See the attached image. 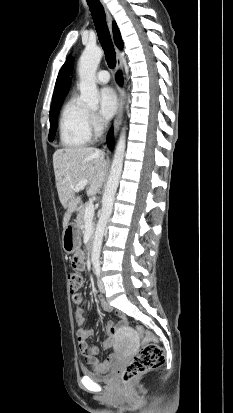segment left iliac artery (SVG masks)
<instances>
[{"label":"left iliac artery","instance_id":"44dca946","mask_svg":"<svg viewBox=\"0 0 233 413\" xmlns=\"http://www.w3.org/2000/svg\"><path fill=\"white\" fill-rule=\"evenodd\" d=\"M94 269H95L96 275L99 276V275H100V266H99L98 264H96V265L94 266Z\"/></svg>","mask_w":233,"mask_h":413}]
</instances>
